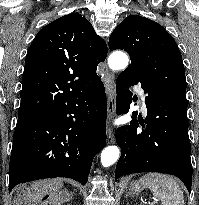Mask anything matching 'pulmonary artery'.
<instances>
[{"mask_svg": "<svg viewBox=\"0 0 199 205\" xmlns=\"http://www.w3.org/2000/svg\"><path fill=\"white\" fill-rule=\"evenodd\" d=\"M138 93L140 94L141 96V99H142V109L144 112H146V105H145V98H146V95L144 94L143 90H138Z\"/></svg>", "mask_w": 199, "mask_h": 205, "instance_id": "e3ab8cb5", "label": "pulmonary artery"}]
</instances>
